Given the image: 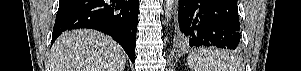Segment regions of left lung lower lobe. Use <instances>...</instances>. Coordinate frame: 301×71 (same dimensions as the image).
Masks as SVG:
<instances>
[{
  "instance_id": "left-lung-lower-lobe-1",
  "label": "left lung lower lobe",
  "mask_w": 301,
  "mask_h": 71,
  "mask_svg": "<svg viewBox=\"0 0 301 71\" xmlns=\"http://www.w3.org/2000/svg\"><path fill=\"white\" fill-rule=\"evenodd\" d=\"M179 42L189 46H240L237 0H179Z\"/></svg>"
}]
</instances>
